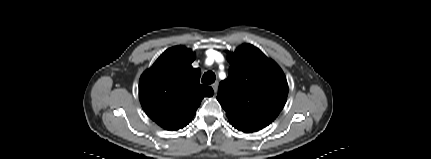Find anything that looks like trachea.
Here are the masks:
<instances>
[{"label":"trachea","mask_w":431,"mask_h":159,"mask_svg":"<svg viewBox=\"0 0 431 159\" xmlns=\"http://www.w3.org/2000/svg\"><path fill=\"white\" fill-rule=\"evenodd\" d=\"M216 76L215 73L212 71L205 72L202 76V83L206 85H210L215 82Z\"/></svg>","instance_id":"trachea-1"}]
</instances>
